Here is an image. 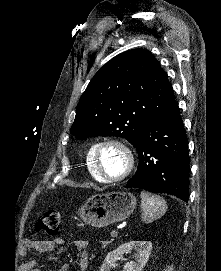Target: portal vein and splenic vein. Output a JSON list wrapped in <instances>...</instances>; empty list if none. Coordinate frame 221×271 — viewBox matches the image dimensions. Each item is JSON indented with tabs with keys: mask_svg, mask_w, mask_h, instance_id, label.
<instances>
[{
	"mask_svg": "<svg viewBox=\"0 0 221 271\" xmlns=\"http://www.w3.org/2000/svg\"><path fill=\"white\" fill-rule=\"evenodd\" d=\"M118 231H111V237H116Z\"/></svg>",
	"mask_w": 221,
	"mask_h": 271,
	"instance_id": "1",
	"label": "portal vein and splenic vein"
}]
</instances>
